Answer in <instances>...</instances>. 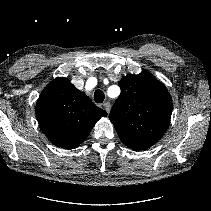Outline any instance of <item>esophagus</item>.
<instances>
[{
	"label": "esophagus",
	"instance_id": "34e87169",
	"mask_svg": "<svg viewBox=\"0 0 211 211\" xmlns=\"http://www.w3.org/2000/svg\"><path fill=\"white\" fill-rule=\"evenodd\" d=\"M103 107H104V109H105V111H106L107 113L110 112V109H111V104H110V102H105V103L103 104Z\"/></svg>",
	"mask_w": 211,
	"mask_h": 211
}]
</instances>
